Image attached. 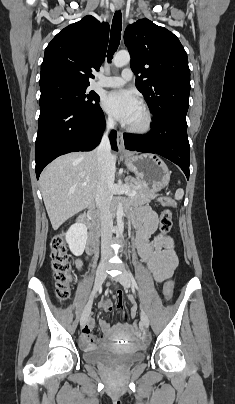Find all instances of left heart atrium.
<instances>
[{
  "label": "left heart atrium",
  "mask_w": 235,
  "mask_h": 404,
  "mask_svg": "<svg viewBox=\"0 0 235 404\" xmlns=\"http://www.w3.org/2000/svg\"><path fill=\"white\" fill-rule=\"evenodd\" d=\"M103 108L122 123L129 124L139 111V98L127 90H115L106 94L102 100Z\"/></svg>",
  "instance_id": "obj_1"
}]
</instances>
